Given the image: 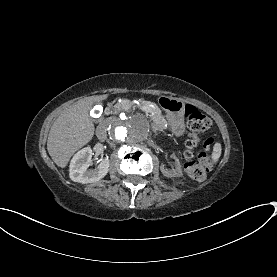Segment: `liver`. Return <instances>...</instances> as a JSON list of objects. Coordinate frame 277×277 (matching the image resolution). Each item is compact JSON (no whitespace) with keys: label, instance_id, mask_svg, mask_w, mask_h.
I'll return each mask as SVG.
<instances>
[{"label":"liver","instance_id":"6515ba94","mask_svg":"<svg viewBox=\"0 0 277 277\" xmlns=\"http://www.w3.org/2000/svg\"><path fill=\"white\" fill-rule=\"evenodd\" d=\"M110 94L89 96L63 111L50 128L47 151L61 169L67 167L72 156L91 142L95 125L90 110L96 103L106 101Z\"/></svg>","mask_w":277,"mask_h":277}]
</instances>
